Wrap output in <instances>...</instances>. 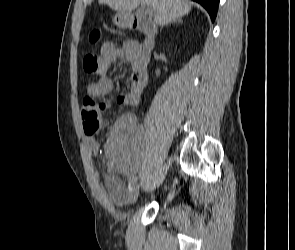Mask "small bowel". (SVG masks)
<instances>
[{
  "mask_svg": "<svg viewBox=\"0 0 295 250\" xmlns=\"http://www.w3.org/2000/svg\"><path fill=\"white\" fill-rule=\"evenodd\" d=\"M141 59L142 49L136 41L126 42L122 46L105 42L98 56V79L86 86L87 97H100L109 94L114 88V83L107 75L108 68L111 64L124 60L133 67L134 72L130 80L129 91L118 95L117 103L123 106L138 104L142 91L147 84V79L141 78L138 74ZM100 107L102 112L105 113L109 111L111 105L101 103ZM86 147L91 155H96L99 152V144L91 136L86 137ZM141 149V129L135 117L130 114L121 116L111 128L106 146L109 156V170L105 182L109 191L118 200L125 196L126 187L116 170L127 163L138 161Z\"/></svg>",
  "mask_w": 295,
  "mask_h": 250,
  "instance_id": "small-bowel-1",
  "label": "small bowel"
}]
</instances>
